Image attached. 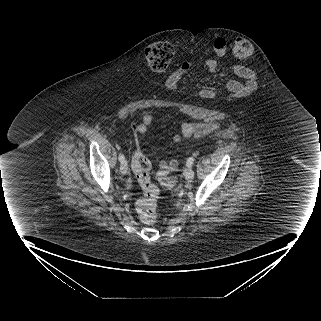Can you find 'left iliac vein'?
I'll list each match as a JSON object with an SVG mask.
<instances>
[{
    "label": "left iliac vein",
    "instance_id": "obj_1",
    "mask_svg": "<svg viewBox=\"0 0 321 321\" xmlns=\"http://www.w3.org/2000/svg\"><path fill=\"white\" fill-rule=\"evenodd\" d=\"M184 173H185V178L187 182H192L194 179V171L192 167H189L188 169H186Z\"/></svg>",
    "mask_w": 321,
    "mask_h": 321
}]
</instances>
